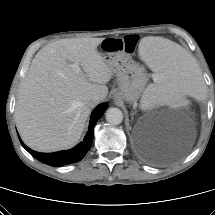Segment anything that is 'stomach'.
I'll use <instances>...</instances> for the list:
<instances>
[{
	"mask_svg": "<svg viewBox=\"0 0 215 215\" xmlns=\"http://www.w3.org/2000/svg\"><path fill=\"white\" fill-rule=\"evenodd\" d=\"M103 59L117 78L115 98L134 103L146 85L144 68L124 51L105 52Z\"/></svg>",
	"mask_w": 215,
	"mask_h": 215,
	"instance_id": "0dacf381",
	"label": "stomach"
}]
</instances>
